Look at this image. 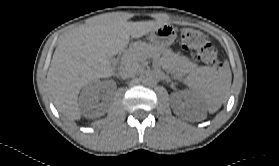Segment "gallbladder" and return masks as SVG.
<instances>
[{"label": "gallbladder", "mask_w": 279, "mask_h": 166, "mask_svg": "<svg viewBox=\"0 0 279 166\" xmlns=\"http://www.w3.org/2000/svg\"><path fill=\"white\" fill-rule=\"evenodd\" d=\"M109 60H110V61H112V60H113V58H112V57H109Z\"/></svg>", "instance_id": "1"}]
</instances>
